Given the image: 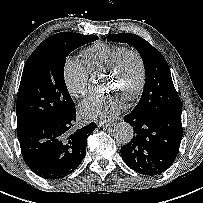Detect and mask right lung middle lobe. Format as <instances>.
<instances>
[{
  "mask_svg": "<svg viewBox=\"0 0 203 203\" xmlns=\"http://www.w3.org/2000/svg\"><path fill=\"white\" fill-rule=\"evenodd\" d=\"M97 39L94 35L68 32L33 51L25 63L17 96V131L75 108L64 80L66 57Z\"/></svg>",
  "mask_w": 203,
  "mask_h": 203,
  "instance_id": "1",
  "label": "right lung middle lobe"
}]
</instances>
